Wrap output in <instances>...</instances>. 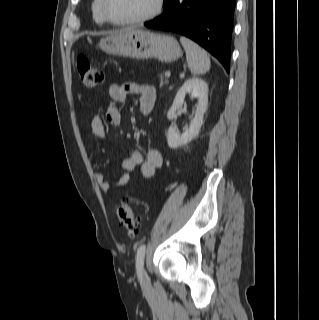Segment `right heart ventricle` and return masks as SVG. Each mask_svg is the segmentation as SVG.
<instances>
[{
  "mask_svg": "<svg viewBox=\"0 0 319 320\" xmlns=\"http://www.w3.org/2000/svg\"><path fill=\"white\" fill-rule=\"evenodd\" d=\"M91 8H92L93 18L96 21V23L98 24L105 23L106 21L101 14L100 0H93Z\"/></svg>",
  "mask_w": 319,
  "mask_h": 320,
  "instance_id": "1",
  "label": "right heart ventricle"
}]
</instances>
